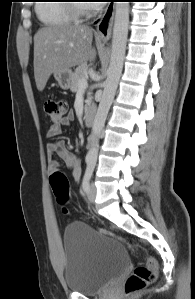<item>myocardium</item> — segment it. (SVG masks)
Returning <instances> with one entry per match:
<instances>
[{
	"label": "myocardium",
	"instance_id": "myocardium-1",
	"mask_svg": "<svg viewBox=\"0 0 195 299\" xmlns=\"http://www.w3.org/2000/svg\"><path fill=\"white\" fill-rule=\"evenodd\" d=\"M70 11L72 12L74 18L80 19L87 17L91 14L92 9L89 5L83 3H73L69 5Z\"/></svg>",
	"mask_w": 195,
	"mask_h": 299
}]
</instances>
